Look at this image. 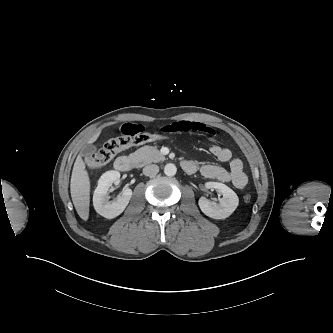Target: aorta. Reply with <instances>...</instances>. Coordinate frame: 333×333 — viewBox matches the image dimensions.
Returning <instances> with one entry per match:
<instances>
[{"label":"aorta","instance_id":"762f6f07","mask_svg":"<svg viewBox=\"0 0 333 333\" xmlns=\"http://www.w3.org/2000/svg\"><path fill=\"white\" fill-rule=\"evenodd\" d=\"M177 172V168L174 164L168 163L164 167V173L167 176H174Z\"/></svg>","mask_w":333,"mask_h":333}]
</instances>
